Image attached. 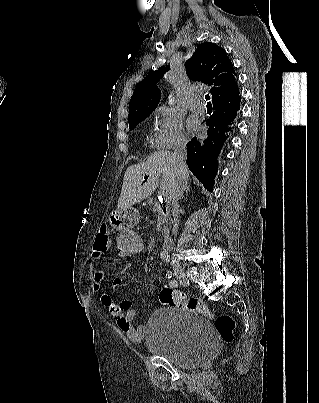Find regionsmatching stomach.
<instances>
[{
  "label": "stomach",
  "mask_w": 319,
  "mask_h": 403,
  "mask_svg": "<svg viewBox=\"0 0 319 403\" xmlns=\"http://www.w3.org/2000/svg\"><path fill=\"white\" fill-rule=\"evenodd\" d=\"M110 227L117 229L119 234H126L133 231L140 223V216L136 209L127 208L125 210H111L109 216Z\"/></svg>",
  "instance_id": "obj_1"
}]
</instances>
